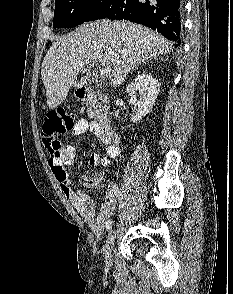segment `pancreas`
<instances>
[{
  "instance_id": "1",
  "label": "pancreas",
  "mask_w": 233,
  "mask_h": 294,
  "mask_svg": "<svg viewBox=\"0 0 233 294\" xmlns=\"http://www.w3.org/2000/svg\"><path fill=\"white\" fill-rule=\"evenodd\" d=\"M88 110L90 111L91 115L95 116L97 113V108L92 107L91 105L88 107Z\"/></svg>"
}]
</instances>
